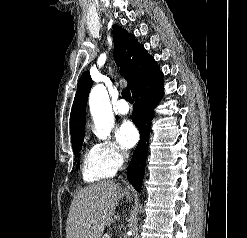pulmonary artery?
I'll return each instance as SVG.
<instances>
[{
  "label": "pulmonary artery",
  "instance_id": "pulmonary-artery-1",
  "mask_svg": "<svg viewBox=\"0 0 247 238\" xmlns=\"http://www.w3.org/2000/svg\"><path fill=\"white\" fill-rule=\"evenodd\" d=\"M115 110L117 113L125 115L129 112L130 107L128 103L124 99H120L115 106Z\"/></svg>",
  "mask_w": 247,
  "mask_h": 238
}]
</instances>
